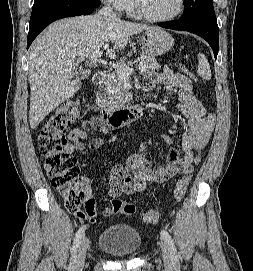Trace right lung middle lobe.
Instances as JSON below:
<instances>
[{"mask_svg": "<svg viewBox=\"0 0 253 271\" xmlns=\"http://www.w3.org/2000/svg\"><path fill=\"white\" fill-rule=\"evenodd\" d=\"M76 4L99 7L100 0H34L30 21L49 10Z\"/></svg>", "mask_w": 253, "mask_h": 271, "instance_id": "right-lung-middle-lobe-1", "label": "right lung middle lobe"}]
</instances>
